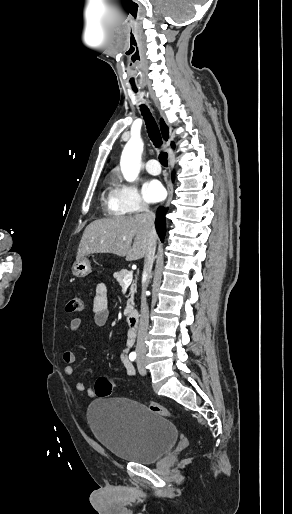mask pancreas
I'll use <instances>...</instances> for the list:
<instances>
[{
    "label": "pancreas",
    "instance_id": "cf45deb5",
    "mask_svg": "<svg viewBox=\"0 0 292 514\" xmlns=\"http://www.w3.org/2000/svg\"><path fill=\"white\" fill-rule=\"evenodd\" d=\"M127 274H129L128 270H121V272H115L114 274V278H116L117 282H119L120 286H124V278H126ZM136 284H131V288H130V298L129 300H127L128 304H131V306H133L134 302V294L136 292V288H135ZM129 312H131V310H126V314H129Z\"/></svg>",
    "mask_w": 292,
    "mask_h": 514
}]
</instances>
